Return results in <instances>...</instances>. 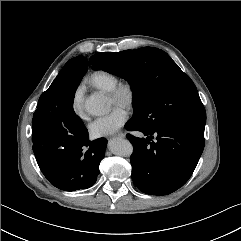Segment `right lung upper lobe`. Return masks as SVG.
<instances>
[{
  "label": "right lung upper lobe",
  "mask_w": 241,
  "mask_h": 241,
  "mask_svg": "<svg viewBox=\"0 0 241 241\" xmlns=\"http://www.w3.org/2000/svg\"><path fill=\"white\" fill-rule=\"evenodd\" d=\"M87 59L83 56H77L75 58L70 59L63 69L59 72V75L63 74H77L83 77L85 72L87 71Z\"/></svg>",
  "instance_id": "1"
}]
</instances>
